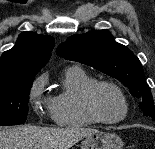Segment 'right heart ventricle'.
<instances>
[{"instance_id":"right-heart-ventricle-1","label":"right heart ventricle","mask_w":155,"mask_h":149,"mask_svg":"<svg viewBox=\"0 0 155 149\" xmlns=\"http://www.w3.org/2000/svg\"><path fill=\"white\" fill-rule=\"evenodd\" d=\"M94 81V77L78 66L66 69L62 78L63 88L51 99L50 113L57 125L87 127L96 123L84 107V92Z\"/></svg>"}]
</instances>
